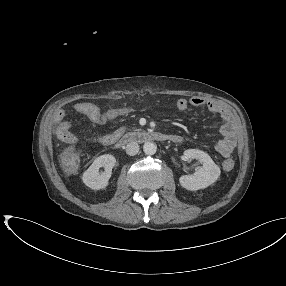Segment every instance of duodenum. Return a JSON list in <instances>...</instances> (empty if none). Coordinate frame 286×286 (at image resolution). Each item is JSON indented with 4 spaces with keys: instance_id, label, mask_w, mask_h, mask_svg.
Segmentation results:
<instances>
[{
    "instance_id": "1",
    "label": "duodenum",
    "mask_w": 286,
    "mask_h": 286,
    "mask_svg": "<svg viewBox=\"0 0 286 286\" xmlns=\"http://www.w3.org/2000/svg\"><path fill=\"white\" fill-rule=\"evenodd\" d=\"M182 137L174 134H167L158 131H134L124 135L123 137L117 139L116 146L121 148L126 144L132 142H149V141H171L175 143H181Z\"/></svg>"
}]
</instances>
